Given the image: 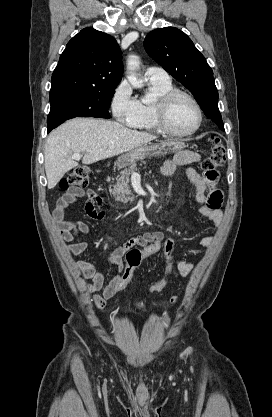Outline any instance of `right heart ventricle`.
<instances>
[{"instance_id": "e07e8e85", "label": "right heart ventricle", "mask_w": 272, "mask_h": 417, "mask_svg": "<svg viewBox=\"0 0 272 417\" xmlns=\"http://www.w3.org/2000/svg\"><path fill=\"white\" fill-rule=\"evenodd\" d=\"M148 84L149 94L152 100L138 101L137 116L129 126L138 130L160 132L161 130L157 126L154 118V104L159 97L173 90L174 87L171 81L164 83L148 81Z\"/></svg>"}]
</instances>
